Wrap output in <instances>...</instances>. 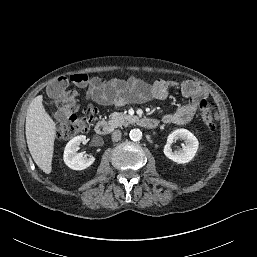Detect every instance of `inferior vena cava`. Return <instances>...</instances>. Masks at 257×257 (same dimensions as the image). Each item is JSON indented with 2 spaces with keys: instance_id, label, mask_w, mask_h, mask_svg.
Returning a JSON list of instances; mask_svg holds the SVG:
<instances>
[{
  "instance_id": "obj_1",
  "label": "inferior vena cava",
  "mask_w": 257,
  "mask_h": 257,
  "mask_svg": "<svg viewBox=\"0 0 257 257\" xmlns=\"http://www.w3.org/2000/svg\"><path fill=\"white\" fill-rule=\"evenodd\" d=\"M121 131L120 130H115L113 131L111 137H112V141H119L121 139Z\"/></svg>"
}]
</instances>
